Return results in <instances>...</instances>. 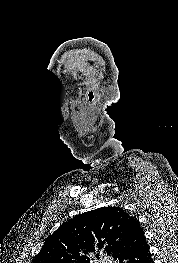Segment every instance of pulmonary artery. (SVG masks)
I'll use <instances>...</instances> for the list:
<instances>
[{
    "instance_id": "obj_1",
    "label": "pulmonary artery",
    "mask_w": 178,
    "mask_h": 263,
    "mask_svg": "<svg viewBox=\"0 0 178 263\" xmlns=\"http://www.w3.org/2000/svg\"><path fill=\"white\" fill-rule=\"evenodd\" d=\"M103 263H112V260L109 258H104Z\"/></svg>"
}]
</instances>
